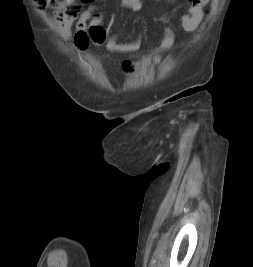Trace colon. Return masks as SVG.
Instances as JSON below:
<instances>
[{"instance_id":"1","label":"colon","mask_w":253,"mask_h":267,"mask_svg":"<svg viewBox=\"0 0 253 267\" xmlns=\"http://www.w3.org/2000/svg\"><path fill=\"white\" fill-rule=\"evenodd\" d=\"M35 6L37 8H45L48 5L55 6V7H63L68 5L71 0H34ZM89 36L92 44L97 47L106 46L108 41V32L103 26H91L89 28ZM123 67L127 71H131L132 69V62L130 60H125L123 62Z\"/></svg>"}]
</instances>
